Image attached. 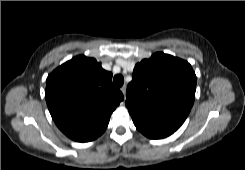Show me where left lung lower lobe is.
Wrapping results in <instances>:
<instances>
[{
  "label": "left lung lower lobe",
  "instance_id": "left-lung-lower-lobe-1",
  "mask_svg": "<svg viewBox=\"0 0 245 170\" xmlns=\"http://www.w3.org/2000/svg\"><path fill=\"white\" fill-rule=\"evenodd\" d=\"M133 122H134L136 128L142 134H144L146 137H148L150 139H161V138H165V137L171 135L172 133H174L173 131L158 128V127H153V126L144 124V123L137 121V120H133Z\"/></svg>",
  "mask_w": 245,
  "mask_h": 170
}]
</instances>
